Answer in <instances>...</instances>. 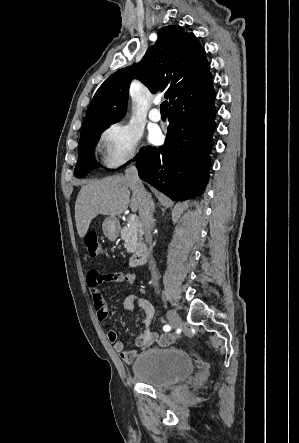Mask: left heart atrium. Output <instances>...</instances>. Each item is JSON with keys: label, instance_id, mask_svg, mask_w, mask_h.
I'll return each mask as SVG.
<instances>
[{"label": "left heart atrium", "instance_id": "39dd6f15", "mask_svg": "<svg viewBox=\"0 0 299 443\" xmlns=\"http://www.w3.org/2000/svg\"><path fill=\"white\" fill-rule=\"evenodd\" d=\"M148 139H149V141L151 143H155V142L159 141V139H160V132L157 129L151 130L150 133H149Z\"/></svg>", "mask_w": 299, "mask_h": 443}]
</instances>
